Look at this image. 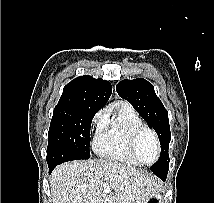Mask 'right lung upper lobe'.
I'll return each mask as SVG.
<instances>
[{
	"instance_id": "right-lung-upper-lobe-1",
	"label": "right lung upper lobe",
	"mask_w": 214,
	"mask_h": 203,
	"mask_svg": "<svg viewBox=\"0 0 214 203\" xmlns=\"http://www.w3.org/2000/svg\"><path fill=\"white\" fill-rule=\"evenodd\" d=\"M112 86L108 81L84 75L69 82L58 105H82L100 110L108 101Z\"/></svg>"
}]
</instances>
